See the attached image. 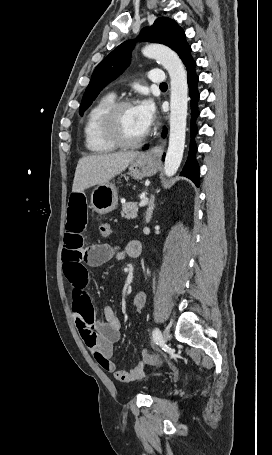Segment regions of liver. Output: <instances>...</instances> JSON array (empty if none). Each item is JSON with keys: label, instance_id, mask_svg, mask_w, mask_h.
Masks as SVG:
<instances>
[{"label": "liver", "instance_id": "6515ba94", "mask_svg": "<svg viewBox=\"0 0 272 455\" xmlns=\"http://www.w3.org/2000/svg\"><path fill=\"white\" fill-rule=\"evenodd\" d=\"M139 154L141 153L138 151H128L81 158L76 167L72 192H81L109 182L124 171Z\"/></svg>", "mask_w": 272, "mask_h": 455}]
</instances>
